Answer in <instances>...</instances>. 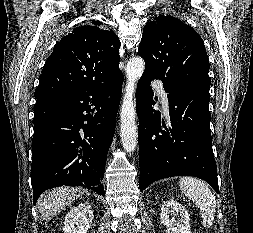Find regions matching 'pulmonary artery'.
<instances>
[{"mask_svg":"<svg viewBox=\"0 0 253 233\" xmlns=\"http://www.w3.org/2000/svg\"><path fill=\"white\" fill-rule=\"evenodd\" d=\"M153 86L156 88L157 94L161 98V102L166 110L168 107V96L166 90L164 89L163 85L158 81L154 82Z\"/></svg>","mask_w":253,"mask_h":233,"instance_id":"e3ab8cb5","label":"pulmonary artery"}]
</instances>
